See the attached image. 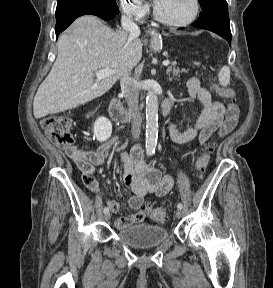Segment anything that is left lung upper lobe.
Instances as JSON below:
<instances>
[{
  "mask_svg": "<svg viewBox=\"0 0 273 288\" xmlns=\"http://www.w3.org/2000/svg\"><path fill=\"white\" fill-rule=\"evenodd\" d=\"M203 12H211L219 8L228 7L226 0H199Z\"/></svg>",
  "mask_w": 273,
  "mask_h": 288,
  "instance_id": "5c2ea615",
  "label": "left lung upper lobe"
}]
</instances>
